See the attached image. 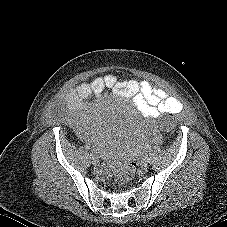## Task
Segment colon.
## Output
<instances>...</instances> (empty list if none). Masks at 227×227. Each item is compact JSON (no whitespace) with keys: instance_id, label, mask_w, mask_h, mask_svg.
<instances>
[{"instance_id":"obj_1","label":"colon","mask_w":227,"mask_h":227,"mask_svg":"<svg viewBox=\"0 0 227 227\" xmlns=\"http://www.w3.org/2000/svg\"><path fill=\"white\" fill-rule=\"evenodd\" d=\"M175 124V116L173 114H167L160 119L158 125L162 131H170ZM137 170V163L133 160L125 161L119 166H111L108 171L113 174L114 180L119 185L128 184Z\"/></svg>"}]
</instances>
